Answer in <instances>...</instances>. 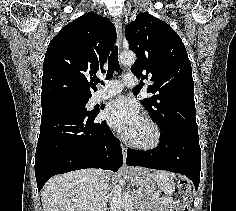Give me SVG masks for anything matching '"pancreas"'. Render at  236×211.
Listing matches in <instances>:
<instances>
[{
    "label": "pancreas",
    "instance_id": "pancreas-1",
    "mask_svg": "<svg viewBox=\"0 0 236 211\" xmlns=\"http://www.w3.org/2000/svg\"><path fill=\"white\" fill-rule=\"evenodd\" d=\"M135 208L138 211H151L153 206L158 207L160 205L159 199L147 197L141 190H137L133 193Z\"/></svg>",
    "mask_w": 236,
    "mask_h": 211
}]
</instances>
